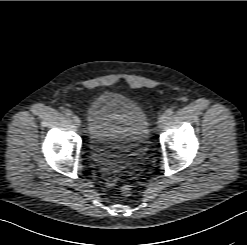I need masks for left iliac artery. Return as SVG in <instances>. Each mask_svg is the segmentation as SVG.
Wrapping results in <instances>:
<instances>
[{
    "label": "left iliac artery",
    "mask_w": 247,
    "mask_h": 245,
    "mask_svg": "<svg viewBox=\"0 0 247 245\" xmlns=\"http://www.w3.org/2000/svg\"><path fill=\"white\" fill-rule=\"evenodd\" d=\"M173 113H174V110L170 108V109L166 110V112L164 113V116H165L166 118H168V117L171 116Z\"/></svg>",
    "instance_id": "left-iliac-artery-1"
}]
</instances>
